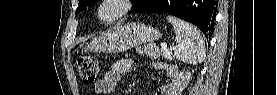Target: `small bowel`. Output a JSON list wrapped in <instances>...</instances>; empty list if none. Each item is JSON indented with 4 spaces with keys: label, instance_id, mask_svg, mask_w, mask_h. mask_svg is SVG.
I'll return each instance as SVG.
<instances>
[{
    "label": "small bowel",
    "instance_id": "obj_1",
    "mask_svg": "<svg viewBox=\"0 0 277 95\" xmlns=\"http://www.w3.org/2000/svg\"><path fill=\"white\" fill-rule=\"evenodd\" d=\"M133 65L131 59H118L116 60L109 71L96 83L95 93L97 94H114L116 91L117 83L123 74L128 73ZM159 62H155V66H159ZM156 95H170L168 87L162 86L157 89Z\"/></svg>",
    "mask_w": 277,
    "mask_h": 95
}]
</instances>
